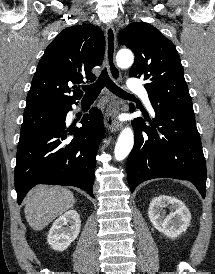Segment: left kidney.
<instances>
[{
  "label": "left kidney",
  "instance_id": "obj_1",
  "mask_svg": "<svg viewBox=\"0 0 215 274\" xmlns=\"http://www.w3.org/2000/svg\"><path fill=\"white\" fill-rule=\"evenodd\" d=\"M170 213L166 215L165 207ZM148 216L152 225L169 238H176L190 225L191 214L182 201L175 197L161 195L152 199Z\"/></svg>",
  "mask_w": 215,
  "mask_h": 274
}]
</instances>
